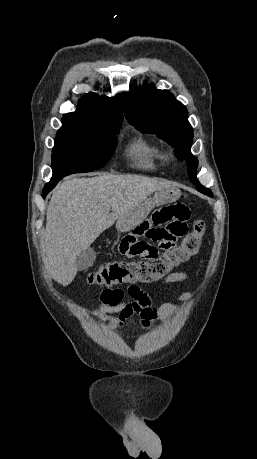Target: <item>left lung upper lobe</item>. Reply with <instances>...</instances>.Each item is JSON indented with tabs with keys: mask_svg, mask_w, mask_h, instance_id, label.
<instances>
[{
	"mask_svg": "<svg viewBox=\"0 0 257 459\" xmlns=\"http://www.w3.org/2000/svg\"><path fill=\"white\" fill-rule=\"evenodd\" d=\"M121 101L128 122L143 133L156 134L174 147L177 158L186 160L189 179L196 184V189L212 196V192L196 178L198 161L190 153L193 129L188 122L186 107L169 91L158 90L152 85L122 93Z\"/></svg>",
	"mask_w": 257,
	"mask_h": 459,
	"instance_id": "left-lung-upper-lobe-1",
	"label": "left lung upper lobe"
}]
</instances>
